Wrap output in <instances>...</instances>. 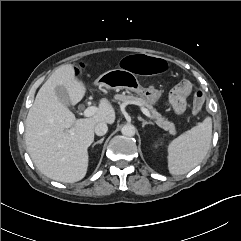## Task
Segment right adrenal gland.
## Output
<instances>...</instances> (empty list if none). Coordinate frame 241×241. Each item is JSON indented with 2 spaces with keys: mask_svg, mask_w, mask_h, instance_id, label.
Returning <instances> with one entry per match:
<instances>
[{
  "mask_svg": "<svg viewBox=\"0 0 241 241\" xmlns=\"http://www.w3.org/2000/svg\"><path fill=\"white\" fill-rule=\"evenodd\" d=\"M103 141H104V137L101 138L100 140L94 142L93 145H92V147H94V146L97 145V144H102Z\"/></svg>",
  "mask_w": 241,
  "mask_h": 241,
  "instance_id": "1",
  "label": "right adrenal gland"
}]
</instances>
